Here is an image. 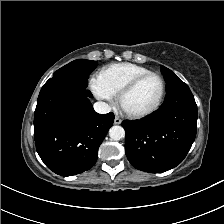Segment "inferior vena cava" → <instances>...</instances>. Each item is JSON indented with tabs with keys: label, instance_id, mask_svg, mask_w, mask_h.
Wrapping results in <instances>:
<instances>
[{
	"label": "inferior vena cava",
	"instance_id": "inferior-vena-cava-1",
	"mask_svg": "<svg viewBox=\"0 0 224 224\" xmlns=\"http://www.w3.org/2000/svg\"><path fill=\"white\" fill-rule=\"evenodd\" d=\"M94 110L97 113L106 114L111 111V107L107 103L99 101L94 104Z\"/></svg>",
	"mask_w": 224,
	"mask_h": 224
}]
</instances>
